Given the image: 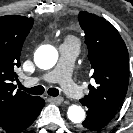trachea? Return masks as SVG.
Returning a JSON list of instances; mask_svg holds the SVG:
<instances>
[{
  "instance_id": "trachea-1",
  "label": "trachea",
  "mask_w": 133,
  "mask_h": 133,
  "mask_svg": "<svg viewBox=\"0 0 133 133\" xmlns=\"http://www.w3.org/2000/svg\"><path fill=\"white\" fill-rule=\"evenodd\" d=\"M20 89H22V90H24L30 94H33V95H42L45 91L44 87H42V86H35L32 88H26V87L20 85ZM47 93H48V95L53 96V97H56L59 95V91L56 88H50L47 91Z\"/></svg>"
}]
</instances>
